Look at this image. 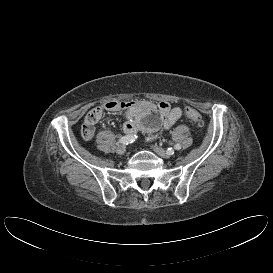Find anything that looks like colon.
Here are the masks:
<instances>
[{
	"label": "colon",
	"instance_id": "colon-1",
	"mask_svg": "<svg viewBox=\"0 0 273 273\" xmlns=\"http://www.w3.org/2000/svg\"><path fill=\"white\" fill-rule=\"evenodd\" d=\"M185 115L190 121L197 124L198 126L203 125V118L196 109L191 107L185 108Z\"/></svg>",
	"mask_w": 273,
	"mask_h": 273
}]
</instances>
